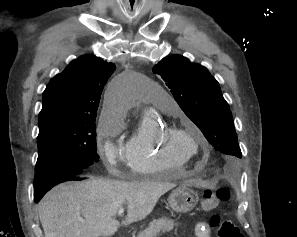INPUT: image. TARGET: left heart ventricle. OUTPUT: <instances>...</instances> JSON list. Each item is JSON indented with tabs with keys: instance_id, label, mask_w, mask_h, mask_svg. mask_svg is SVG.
Returning a JSON list of instances; mask_svg holds the SVG:
<instances>
[{
	"instance_id": "b2bd125f",
	"label": "left heart ventricle",
	"mask_w": 297,
	"mask_h": 237,
	"mask_svg": "<svg viewBox=\"0 0 297 237\" xmlns=\"http://www.w3.org/2000/svg\"><path fill=\"white\" fill-rule=\"evenodd\" d=\"M179 145L181 149L187 154L195 152V145L191 140H181Z\"/></svg>"
}]
</instances>
